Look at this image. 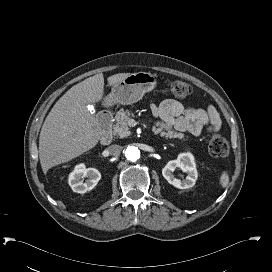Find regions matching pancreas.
Instances as JSON below:
<instances>
[{
    "label": "pancreas",
    "mask_w": 272,
    "mask_h": 272,
    "mask_svg": "<svg viewBox=\"0 0 272 272\" xmlns=\"http://www.w3.org/2000/svg\"><path fill=\"white\" fill-rule=\"evenodd\" d=\"M131 112L129 110L120 109L116 115L115 120L116 124L113 127V134L117 135L121 138L127 137L131 134L130 128L128 126V121L130 120ZM152 131L155 134H160L165 139H180L185 140V136L182 133H178L173 130H166L163 131L162 125L159 122L155 123L153 126Z\"/></svg>",
    "instance_id": "obj_1"
}]
</instances>
